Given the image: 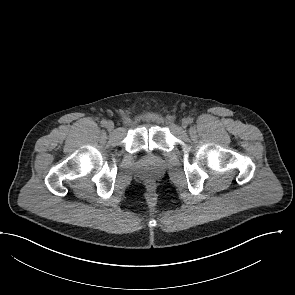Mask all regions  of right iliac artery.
Here are the masks:
<instances>
[{
	"label": "right iliac artery",
	"mask_w": 295,
	"mask_h": 295,
	"mask_svg": "<svg viewBox=\"0 0 295 295\" xmlns=\"http://www.w3.org/2000/svg\"><path fill=\"white\" fill-rule=\"evenodd\" d=\"M106 123H107L106 120H102V121H101V126H103V127L106 126Z\"/></svg>",
	"instance_id": "82829eb1"
}]
</instances>
